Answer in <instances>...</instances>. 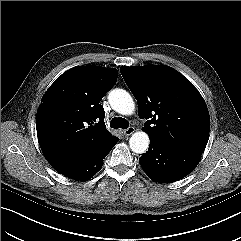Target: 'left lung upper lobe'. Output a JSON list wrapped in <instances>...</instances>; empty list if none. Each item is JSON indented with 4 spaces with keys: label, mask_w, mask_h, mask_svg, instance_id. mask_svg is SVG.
Returning a JSON list of instances; mask_svg holds the SVG:
<instances>
[{
    "label": "left lung upper lobe",
    "mask_w": 241,
    "mask_h": 241,
    "mask_svg": "<svg viewBox=\"0 0 241 241\" xmlns=\"http://www.w3.org/2000/svg\"><path fill=\"white\" fill-rule=\"evenodd\" d=\"M146 119L150 141L201 155L210 131V117L198 90L180 73L165 65L120 68Z\"/></svg>",
    "instance_id": "obj_1"
}]
</instances>
